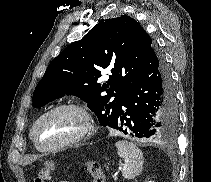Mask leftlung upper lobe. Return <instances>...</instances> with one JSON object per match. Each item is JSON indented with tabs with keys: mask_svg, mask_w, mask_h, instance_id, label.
<instances>
[{
	"mask_svg": "<svg viewBox=\"0 0 211 182\" xmlns=\"http://www.w3.org/2000/svg\"><path fill=\"white\" fill-rule=\"evenodd\" d=\"M153 46L150 36L133 18L101 19L48 65L34 90L33 106H44L65 94L75 95L87 102L101 126L115 128L125 91ZM106 68L112 75L101 83L100 70Z\"/></svg>",
	"mask_w": 211,
	"mask_h": 182,
	"instance_id": "5c2ea615",
	"label": "left lung upper lobe"
}]
</instances>
